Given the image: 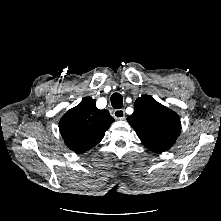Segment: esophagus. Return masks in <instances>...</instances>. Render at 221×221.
<instances>
[{"mask_svg": "<svg viewBox=\"0 0 221 221\" xmlns=\"http://www.w3.org/2000/svg\"><path fill=\"white\" fill-rule=\"evenodd\" d=\"M113 117L116 120H121L125 118V111L123 109H115L113 111Z\"/></svg>", "mask_w": 221, "mask_h": 221, "instance_id": "esophagus-1", "label": "esophagus"}]
</instances>
